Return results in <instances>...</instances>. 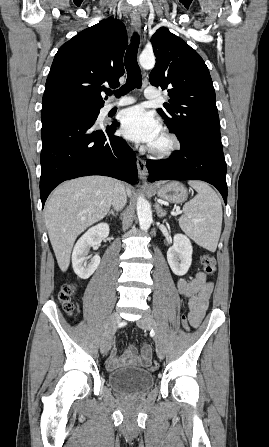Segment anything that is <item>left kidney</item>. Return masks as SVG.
Segmentation results:
<instances>
[{"label": "left kidney", "instance_id": "obj_1", "mask_svg": "<svg viewBox=\"0 0 269 447\" xmlns=\"http://www.w3.org/2000/svg\"><path fill=\"white\" fill-rule=\"evenodd\" d=\"M193 247L187 235L175 233L173 245L167 251L168 263L176 275H185L192 263Z\"/></svg>", "mask_w": 269, "mask_h": 447}]
</instances>
